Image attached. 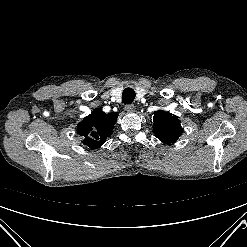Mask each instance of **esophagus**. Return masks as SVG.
Returning <instances> with one entry per match:
<instances>
[{
    "mask_svg": "<svg viewBox=\"0 0 247 247\" xmlns=\"http://www.w3.org/2000/svg\"><path fill=\"white\" fill-rule=\"evenodd\" d=\"M133 109H134V105L133 104H127L125 106V111H127V112H132Z\"/></svg>",
    "mask_w": 247,
    "mask_h": 247,
    "instance_id": "34e87169",
    "label": "esophagus"
}]
</instances>
